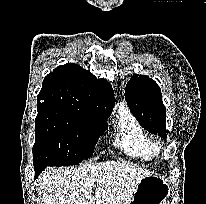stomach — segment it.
<instances>
[{
  "label": "stomach",
  "instance_id": "1",
  "mask_svg": "<svg viewBox=\"0 0 206 204\" xmlns=\"http://www.w3.org/2000/svg\"><path fill=\"white\" fill-rule=\"evenodd\" d=\"M170 185L159 175L150 174L138 183L129 204H167Z\"/></svg>",
  "mask_w": 206,
  "mask_h": 204
}]
</instances>
